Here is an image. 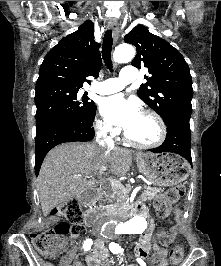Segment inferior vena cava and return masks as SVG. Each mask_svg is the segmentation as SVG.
<instances>
[{
	"mask_svg": "<svg viewBox=\"0 0 221 266\" xmlns=\"http://www.w3.org/2000/svg\"><path fill=\"white\" fill-rule=\"evenodd\" d=\"M107 130L106 129H101L98 133H97V142L99 145L105 147L107 146L108 149H111L113 147V141L111 139V137L107 136ZM113 213H110V216H112ZM110 216H107V219H110ZM104 223V220H101L98 223V226L101 227L102 224Z\"/></svg>",
	"mask_w": 221,
	"mask_h": 266,
	"instance_id": "obj_1",
	"label": "inferior vena cava"
}]
</instances>
